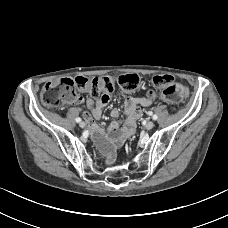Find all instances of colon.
Here are the masks:
<instances>
[{"label": "colon", "instance_id": "5ec220e1", "mask_svg": "<svg viewBox=\"0 0 228 228\" xmlns=\"http://www.w3.org/2000/svg\"><path fill=\"white\" fill-rule=\"evenodd\" d=\"M153 84L161 90L162 98L168 102H180L188 94L187 86L175 82L171 75H156L153 77ZM116 85L126 93L134 92L139 86V77L136 74H126L117 78L112 76L61 78L46 83L41 90L40 99L45 107L58 108L78 102L77 92L99 97L112 92Z\"/></svg>", "mask_w": 228, "mask_h": 228}]
</instances>
